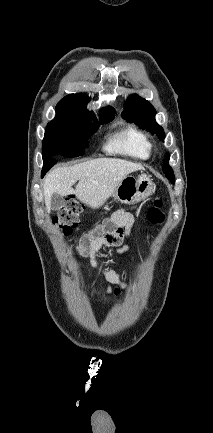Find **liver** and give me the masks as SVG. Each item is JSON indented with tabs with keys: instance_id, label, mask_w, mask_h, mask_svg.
<instances>
[{
	"instance_id": "6515ba94",
	"label": "liver",
	"mask_w": 213,
	"mask_h": 433,
	"mask_svg": "<svg viewBox=\"0 0 213 433\" xmlns=\"http://www.w3.org/2000/svg\"><path fill=\"white\" fill-rule=\"evenodd\" d=\"M143 166L116 158H98L70 167H58L44 179L43 190L47 211L53 193L62 196L74 194L77 199L92 208L103 205L115 188L130 173ZM75 189L72 186L77 182Z\"/></svg>"
}]
</instances>
